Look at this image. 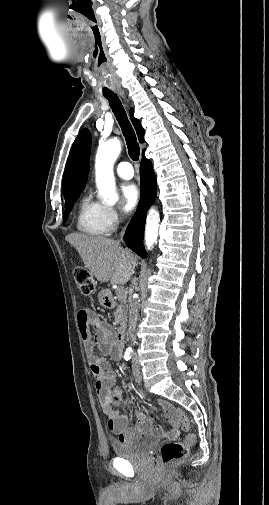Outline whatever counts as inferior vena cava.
Returning <instances> with one entry per match:
<instances>
[{"label":"inferior vena cava","mask_w":269,"mask_h":505,"mask_svg":"<svg viewBox=\"0 0 269 505\" xmlns=\"http://www.w3.org/2000/svg\"><path fill=\"white\" fill-rule=\"evenodd\" d=\"M123 235L124 230L121 232L120 239L118 240V242H121L123 240ZM128 305H129L128 340H130L132 342V345H134L135 340L134 332L138 320V303L134 298L133 289H130L128 294Z\"/></svg>","instance_id":"obj_1"}]
</instances>
